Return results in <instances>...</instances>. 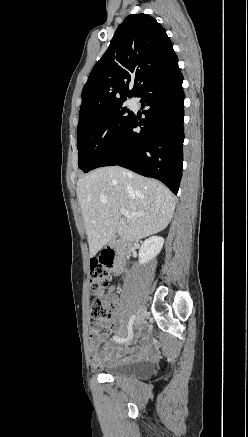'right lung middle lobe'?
<instances>
[{
    "mask_svg": "<svg viewBox=\"0 0 248 437\" xmlns=\"http://www.w3.org/2000/svg\"><path fill=\"white\" fill-rule=\"evenodd\" d=\"M125 100L90 116L78 126V164L85 173L113 146L133 118L134 114L123 105Z\"/></svg>",
    "mask_w": 248,
    "mask_h": 437,
    "instance_id": "1",
    "label": "right lung middle lobe"
}]
</instances>
